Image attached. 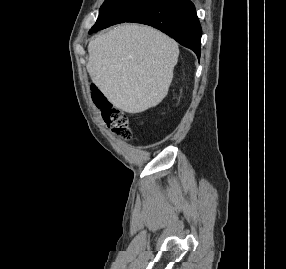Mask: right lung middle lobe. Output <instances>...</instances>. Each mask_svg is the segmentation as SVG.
<instances>
[{"label":"right lung middle lobe","mask_w":286,"mask_h":269,"mask_svg":"<svg viewBox=\"0 0 286 269\" xmlns=\"http://www.w3.org/2000/svg\"><path fill=\"white\" fill-rule=\"evenodd\" d=\"M159 0H105L99 10V17L90 33L111 25L127 22Z\"/></svg>","instance_id":"right-lung-middle-lobe-1"}]
</instances>
